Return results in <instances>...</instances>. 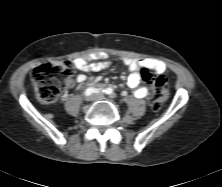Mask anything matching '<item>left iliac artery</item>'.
<instances>
[{"mask_svg": "<svg viewBox=\"0 0 222 187\" xmlns=\"http://www.w3.org/2000/svg\"><path fill=\"white\" fill-rule=\"evenodd\" d=\"M102 92H104L105 94H108L110 96L113 95V90L111 88H106V89L102 90Z\"/></svg>", "mask_w": 222, "mask_h": 187, "instance_id": "1", "label": "left iliac artery"}]
</instances>
